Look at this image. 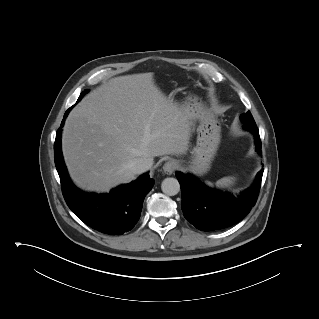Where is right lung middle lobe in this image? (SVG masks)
Here are the masks:
<instances>
[{
	"instance_id": "obj_1",
	"label": "right lung middle lobe",
	"mask_w": 319,
	"mask_h": 319,
	"mask_svg": "<svg viewBox=\"0 0 319 319\" xmlns=\"http://www.w3.org/2000/svg\"><path fill=\"white\" fill-rule=\"evenodd\" d=\"M83 95H84V92L81 93L79 99H81L83 97Z\"/></svg>"
}]
</instances>
